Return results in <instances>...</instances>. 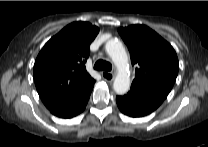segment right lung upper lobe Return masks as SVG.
<instances>
[{"label":"right lung upper lobe","instance_id":"obj_1","mask_svg":"<svg viewBox=\"0 0 208 147\" xmlns=\"http://www.w3.org/2000/svg\"><path fill=\"white\" fill-rule=\"evenodd\" d=\"M99 28L88 22H74L52 37L38 54L34 81L48 109L73 101L94 85L86 71L91 42Z\"/></svg>","mask_w":208,"mask_h":147}]
</instances>
